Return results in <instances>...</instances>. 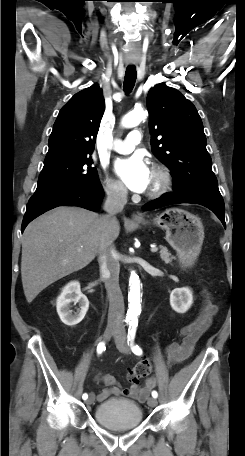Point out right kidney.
Masks as SVG:
<instances>
[{
    "label": "right kidney",
    "instance_id": "1",
    "mask_svg": "<svg viewBox=\"0 0 245 456\" xmlns=\"http://www.w3.org/2000/svg\"><path fill=\"white\" fill-rule=\"evenodd\" d=\"M72 303L79 304V308L75 313H72L71 310ZM56 307L61 321L67 326H76L84 319L89 308V301L82 294L78 281H72L62 289L61 294L57 298Z\"/></svg>",
    "mask_w": 245,
    "mask_h": 456
}]
</instances>
